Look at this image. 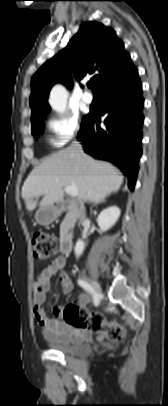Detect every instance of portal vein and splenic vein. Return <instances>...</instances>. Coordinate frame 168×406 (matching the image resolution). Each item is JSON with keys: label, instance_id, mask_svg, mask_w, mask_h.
<instances>
[{"label": "portal vein and splenic vein", "instance_id": "1", "mask_svg": "<svg viewBox=\"0 0 168 406\" xmlns=\"http://www.w3.org/2000/svg\"><path fill=\"white\" fill-rule=\"evenodd\" d=\"M64 191L72 197H75L78 195V189L74 185L65 187Z\"/></svg>", "mask_w": 168, "mask_h": 406}]
</instances>
